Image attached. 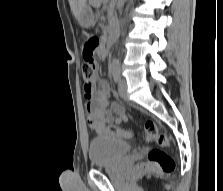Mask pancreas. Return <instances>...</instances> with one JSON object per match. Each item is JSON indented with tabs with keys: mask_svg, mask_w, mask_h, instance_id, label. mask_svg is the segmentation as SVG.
I'll use <instances>...</instances> for the list:
<instances>
[{
	"mask_svg": "<svg viewBox=\"0 0 223 191\" xmlns=\"http://www.w3.org/2000/svg\"><path fill=\"white\" fill-rule=\"evenodd\" d=\"M103 1H106V0H103ZM101 2L102 0H90L91 5H93L94 7H98Z\"/></svg>",
	"mask_w": 223,
	"mask_h": 191,
	"instance_id": "1",
	"label": "pancreas"
}]
</instances>
